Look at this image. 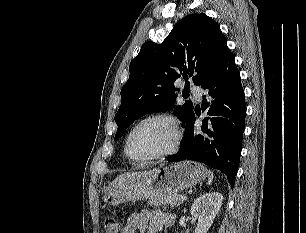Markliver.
Here are the masks:
<instances>
[{
  "mask_svg": "<svg viewBox=\"0 0 306 233\" xmlns=\"http://www.w3.org/2000/svg\"><path fill=\"white\" fill-rule=\"evenodd\" d=\"M141 173H145V172H134V173H126V174H122L120 176H118L115 180V181H121V180H124V179H128V178H132L138 174H141Z\"/></svg>",
  "mask_w": 306,
  "mask_h": 233,
  "instance_id": "1",
  "label": "liver"
}]
</instances>
